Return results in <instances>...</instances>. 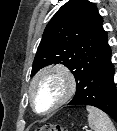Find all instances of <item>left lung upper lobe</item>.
Segmentation results:
<instances>
[{
    "mask_svg": "<svg viewBox=\"0 0 117 131\" xmlns=\"http://www.w3.org/2000/svg\"><path fill=\"white\" fill-rule=\"evenodd\" d=\"M103 19L94 3L70 0L47 24L34 58L33 76L41 68L60 63L75 76L77 87L110 48Z\"/></svg>",
    "mask_w": 117,
    "mask_h": 131,
    "instance_id": "1",
    "label": "left lung upper lobe"
}]
</instances>
